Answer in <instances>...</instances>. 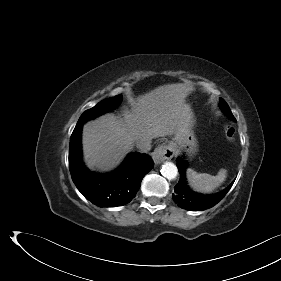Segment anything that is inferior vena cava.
I'll return each mask as SVG.
<instances>
[{
	"mask_svg": "<svg viewBox=\"0 0 281 281\" xmlns=\"http://www.w3.org/2000/svg\"><path fill=\"white\" fill-rule=\"evenodd\" d=\"M136 147L141 153H147L151 149V140L150 139H141L137 141Z\"/></svg>",
	"mask_w": 281,
	"mask_h": 281,
	"instance_id": "1",
	"label": "inferior vena cava"
}]
</instances>
